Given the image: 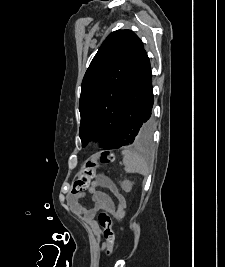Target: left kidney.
Here are the masks:
<instances>
[{"label": "left kidney", "instance_id": "1", "mask_svg": "<svg viewBox=\"0 0 225 267\" xmlns=\"http://www.w3.org/2000/svg\"><path fill=\"white\" fill-rule=\"evenodd\" d=\"M121 187L125 192H130L132 189V183L130 181H124L121 184Z\"/></svg>", "mask_w": 225, "mask_h": 267}]
</instances>
